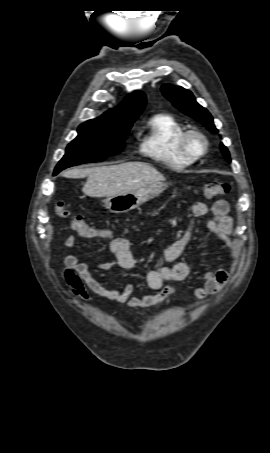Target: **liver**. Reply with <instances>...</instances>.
Returning a JSON list of instances; mask_svg holds the SVG:
<instances>
[{"label": "liver", "mask_w": 270, "mask_h": 453, "mask_svg": "<svg viewBox=\"0 0 270 453\" xmlns=\"http://www.w3.org/2000/svg\"><path fill=\"white\" fill-rule=\"evenodd\" d=\"M66 178L88 177L82 191L90 197H110L127 194L150 184L165 181L154 167L143 162L88 169H70L62 173Z\"/></svg>", "instance_id": "6515ba94"}]
</instances>
